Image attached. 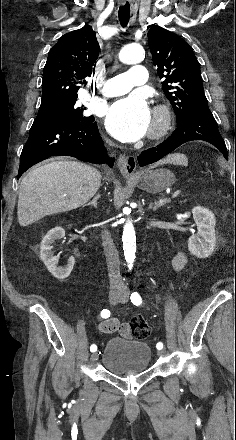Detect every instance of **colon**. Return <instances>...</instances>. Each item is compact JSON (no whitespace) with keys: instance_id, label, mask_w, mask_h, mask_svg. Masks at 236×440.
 <instances>
[{"instance_id":"5ec220e1","label":"colon","mask_w":236,"mask_h":440,"mask_svg":"<svg viewBox=\"0 0 236 440\" xmlns=\"http://www.w3.org/2000/svg\"><path fill=\"white\" fill-rule=\"evenodd\" d=\"M131 322V331L134 338L144 339L150 334V328L146 320L142 316H134Z\"/></svg>"}]
</instances>
